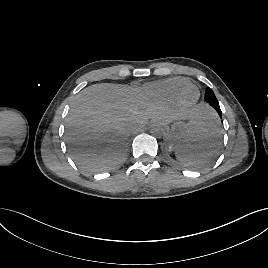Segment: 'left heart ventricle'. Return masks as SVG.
Returning <instances> with one entry per match:
<instances>
[{
    "instance_id": "left-heart-ventricle-1",
    "label": "left heart ventricle",
    "mask_w": 268,
    "mask_h": 268,
    "mask_svg": "<svg viewBox=\"0 0 268 268\" xmlns=\"http://www.w3.org/2000/svg\"><path fill=\"white\" fill-rule=\"evenodd\" d=\"M196 96V92L193 91L189 94V99H193Z\"/></svg>"
}]
</instances>
